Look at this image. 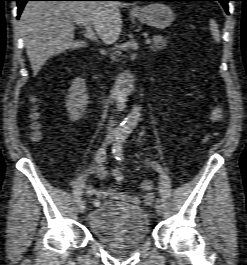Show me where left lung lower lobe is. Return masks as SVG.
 Masks as SVG:
<instances>
[{
  "mask_svg": "<svg viewBox=\"0 0 247 265\" xmlns=\"http://www.w3.org/2000/svg\"><path fill=\"white\" fill-rule=\"evenodd\" d=\"M128 1H179V0H128ZM194 1H219L227 14H229V11H228V2L231 1V0H194Z\"/></svg>",
  "mask_w": 247,
  "mask_h": 265,
  "instance_id": "left-lung-lower-lobe-1",
  "label": "left lung lower lobe"
}]
</instances>
